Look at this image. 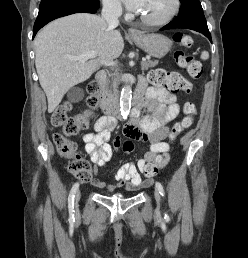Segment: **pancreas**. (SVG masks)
I'll return each instance as SVG.
<instances>
[{
    "label": "pancreas",
    "instance_id": "pancreas-1",
    "mask_svg": "<svg viewBox=\"0 0 248 258\" xmlns=\"http://www.w3.org/2000/svg\"><path fill=\"white\" fill-rule=\"evenodd\" d=\"M156 65H157V61L148 60V61L142 62V69L148 70L149 68L155 67ZM119 81H120V76H119V73L116 72L114 77L111 78V81H109L105 85L106 90L117 92V86L119 84Z\"/></svg>",
    "mask_w": 248,
    "mask_h": 258
}]
</instances>
